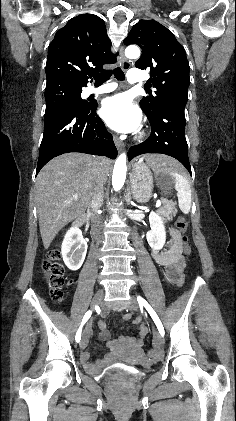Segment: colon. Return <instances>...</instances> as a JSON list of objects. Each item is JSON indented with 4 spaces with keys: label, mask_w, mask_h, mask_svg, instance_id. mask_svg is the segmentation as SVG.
Wrapping results in <instances>:
<instances>
[{
    "label": "colon",
    "mask_w": 236,
    "mask_h": 421,
    "mask_svg": "<svg viewBox=\"0 0 236 421\" xmlns=\"http://www.w3.org/2000/svg\"><path fill=\"white\" fill-rule=\"evenodd\" d=\"M177 228L182 234L183 251L185 255L191 254V247L186 236L188 230V223L183 216H179L176 222ZM45 280L50 288L51 297L54 301L60 302L64 297V266L60 262V251L54 248L49 251L47 258L42 264ZM149 358L156 356V351L150 349L147 353Z\"/></svg>",
    "instance_id": "colon-1"
}]
</instances>
